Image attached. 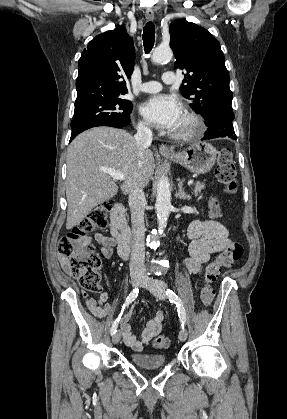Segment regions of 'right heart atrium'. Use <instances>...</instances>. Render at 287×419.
<instances>
[{
  "label": "right heart atrium",
  "mask_w": 287,
  "mask_h": 419,
  "mask_svg": "<svg viewBox=\"0 0 287 419\" xmlns=\"http://www.w3.org/2000/svg\"><path fill=\"white\" fill-rule=\"evenodd\" d=\"M138 130L141 133H149L150 132L149 124L147 122L143 121V120L139 121Z\"/></svg>",
  "instance_id": "d8ad5b80"
}]
</instances>
